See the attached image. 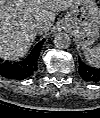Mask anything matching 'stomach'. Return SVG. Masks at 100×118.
I'll return each mask as SVG.
<instances>
[{
	"label": "stomach",
	"instance_id": "stomach-1",
	"mask_svg": "<svg viewBox=\"0 0 100 118\" xmlns=\"http://www.w3.org/2000/svg\"><path fill=\"white\" fill-rule=\"evenodd\" d=\"M65 21L82 45H92L100 37V8L95 0H76Z\"/></svg>",
	"mask_w": 100,
	"mask_h": 118
}]
</instances>
